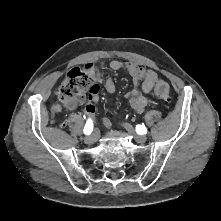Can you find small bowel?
Wrapping results in <instances>:
<instances>
[{"label":"small bowel","mask_w":221,"mask_h":221,"mask_svg":"<svg viewBox=\"0 0 221 221\" xmlns=\"http://www.w3.org/2000/svg\"><path fill=\"white\" fill-rule=\"evenodd\" d=\"M109 68L113 71L125 70L133 78L135 87L126 94L131 106L137 113H142L144 108L150 103L148 94L153 90L158 82V75L155 71L145 68L143 65L132 61L113 60L109 63ZM86 71L94 82L104 84L105 90L112 94L115 92L116 86L113 78H103L98 67L93 63L86 65ZM88 101L85 105V114L92 117L95 113V103L99 100L100 89L97 85L92 84L87 89ZM76 101H61L55 105V111L59 112L63 109L74 110L77 108ZM107 127H110L108 120L104 121Z\"/></svg>","instance_id":"1"}]
</instances>
